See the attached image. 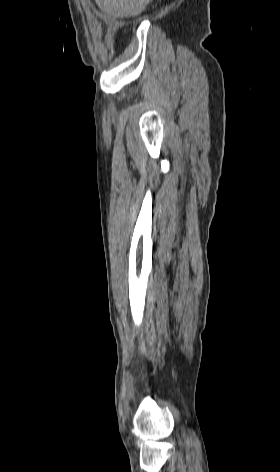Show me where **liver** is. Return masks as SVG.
Here are the masks:
<instances>
[{
	"label": "liver",
	"mask_w": 280,
	"mask_h": 472,
	"mask_svg": "<svg viewBox=\"0 0 280 472\" xmlns=\"http://www.w3.org/2000/svg\"><path fill=\"white\" fill-rule=\"evenodd\" d=\"M151 0H95L107 16L129 17L144 11ZM106 18V17H105Z\"/></svg>",
	"instance_id": "obj_1"
}]
</instances>
